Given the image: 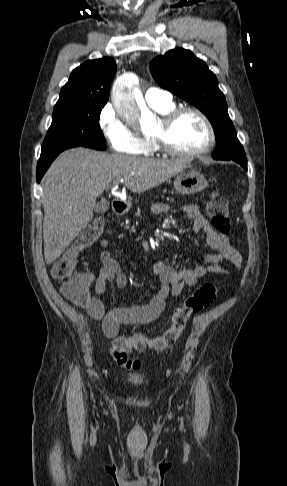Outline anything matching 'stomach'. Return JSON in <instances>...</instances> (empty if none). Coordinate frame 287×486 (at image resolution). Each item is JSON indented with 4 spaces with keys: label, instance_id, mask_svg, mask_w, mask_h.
I'll return each instance as SVG.
<instances>
[{
    "label": "stomach",
    "instance_id": "0dacf381",
    "mask_svg": "<svg viewBox=\"0 0 287 486\" xmlns=\"http://www.w3.org/2000/svg\"><path fill=\"white\" fill-rule=\"evenodd\" d=\"M208 186L206 178L196 169L188 168L177 175L174 180L175 190L182 195H191ZM130 206V204H128Z\"/></svg>",
    "mask_w": 287,
    "mask_h": 486
}]
</instances>
